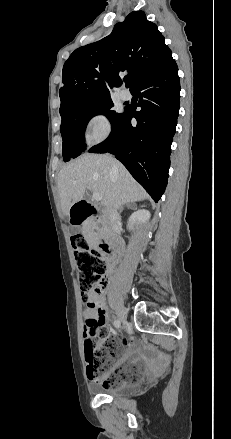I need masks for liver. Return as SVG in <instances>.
<instances>
[{
	"label": "liver",
	"instance_id": "liver-1",
	"mask_svg": "<svg viewBox=\"0 0 231 439\" xmlns=\"http://www.w3.org/2000/svg\"><path fill=\"white\" fill-rule=\"evenodd\" d=\"M86 188L101 194L105 209H117L147 196L127 169L109 155L85 154L61 169L58 189L65 215L83 198Z\"/></svg>",
	"mask_w": 231,
	"mask_h": 439
}]
</instances>
